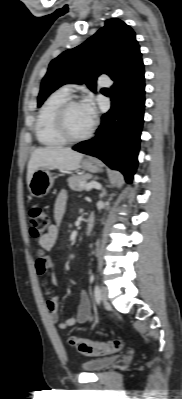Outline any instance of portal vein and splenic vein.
Listing matches in <instances>:
<instances>
[{
  "label": "portal vein and splenic vein",
  "instance_id": "1",
  "mask_svg": "<svg viewBox=\"0 0 182 399\" xmlns=\"http://www.w3.org/2000/svg\"><path fill=\"white\" fill-rule=\"evenodd\" d=\"M92 188H95V189L99 190V189H101V185L98 182H95V181H91V182H89V183H87L85 185V189L86 190H90Z\"/></svg>",
  "mask_w": 182,
  "mask_h": 399
}]
</instances>
